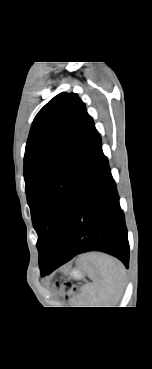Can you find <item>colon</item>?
I'll return each instance as SVG.
<instances>
[{
    "label": "colon",
    "instance_id": "obj_1",
    "mask_svg": "<svg viewBox=\"0 0 152 369\" xmlns=\"http://www.w3.org/2000/svg\"><path fill=\"white\" fill-rule=\"evenodd\" d=\"M54 286L62 292L65 299H71L76 293V288L70 284L56 283Z\"/></svg>",
    "mask_w": 152,
    "mask_h": 369
}]
</instances>
